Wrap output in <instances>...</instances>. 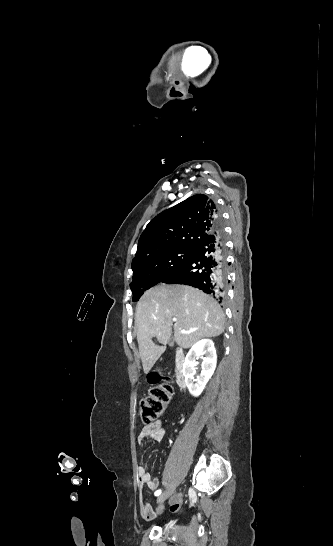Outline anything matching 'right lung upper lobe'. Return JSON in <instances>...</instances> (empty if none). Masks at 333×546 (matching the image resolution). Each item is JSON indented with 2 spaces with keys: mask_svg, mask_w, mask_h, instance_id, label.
<instances>
[{
  "mask_svg": "<svg viewBox=\"0 0 333 546\" xmlns=\"http://www.w3.org/2000/svg\"><path fill=\"white\" fill-rule=\"evenodd\" d=\"M216 213L211 199L196 194L158 214L140 236L132 270L164 251L193 247L215 229Z\"/></svg>",
  "mask_w": 333,
  "mask_h": 546,
  "instance_id": "1",
  "label": "right lung upper lobe"
}]
</instances>
